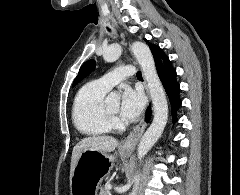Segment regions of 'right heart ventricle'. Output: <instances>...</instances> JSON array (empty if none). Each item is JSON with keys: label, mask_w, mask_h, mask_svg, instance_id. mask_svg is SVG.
Returning <instances> with one entry per match:
<instances>
[{"label": "right heart ventricle", "mask_w": 240, "mask_h": 195, "mask_svg": "<svg viewBox=\"0 0 240 195\" xmlns=\"http://www.w3.org/2000/svg\"><path fill=\"white\" fill-rule=\"evenodd\" d=\"M108 91L103 83L92 81L77 94L72 117L76 128L81 133L97 137L110 131L111 125L104 109Z\"/></svg>", "instance_id": "right-heart-ventricle-1"}]
</instances>
